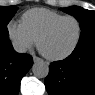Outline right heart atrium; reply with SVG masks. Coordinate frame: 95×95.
Wrapping results in <instances>:
<instances>
[{
  "instance_id": "right-heart-atrium-1",
  "label": "right heart atrium",
  "mask_w": 95,
  "mask_h": 95,
  "mask_svg": "<svg viewBox=\"0 0 95 95\" xmlns=\"http://www.w3.org/2000/svg\"><path fill=\"white\" fill-rule=\"evenodd\" d=\"M7 32L14 47L20 52L30 49L36 43V41L25 30L23 25L16 21H10L7 24Z\"/></svg>"
}]
</instances>
